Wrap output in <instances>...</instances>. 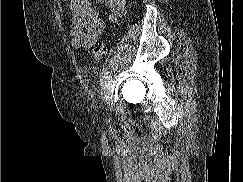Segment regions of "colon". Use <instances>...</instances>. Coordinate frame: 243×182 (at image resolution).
<instances>
[{"mask_svg": "<svg viewBox=\"0 0 243 182\" xmlns=\"http://www.w3.org/2000/svg\"><path fill=\"white\" fill-rule=\"evenodd\" d=\"M107 47L104 43H99L93 48V60L95 63L100 62L106 55Z\"/></svg>", "mask_w": 243, "mask_h": 182, "instance_id": "5ec220e1", "label": "colon"}]
</instances>
